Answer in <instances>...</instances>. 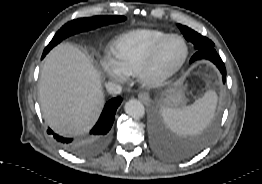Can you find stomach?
I'll list each match as a JSON object with an SVG mask.
<instances>
[{
	"instance_id": "stomach-1",
	"label": "stomach",
	"mask_w": 262,
	"mask_h": 184,
	"mask_svg": "<svg viewBox=\"0 0 262 184\" xmlns=\"http://www.w3.org/2000/svg\"><path fill=\"white\" fill-rule=\"evenodd\" d=\"M184 101V94L181 90L172 89L170 90L166 97L164 98V102L172 104L174 107H178Z\"/></svg>"
}]
</instances>
